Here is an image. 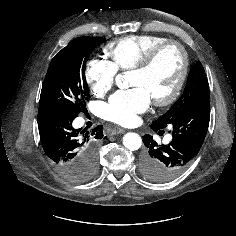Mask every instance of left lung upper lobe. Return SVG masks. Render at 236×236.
I'll use <instances>...</instances> for the list:
<instances>
[{
    "label": "left lung upper lobe",
    "mask_w": 236,
    "mask_h": 236,
    "mask_svg": "<svg viewBox=\"0 0 236 236\" xmlns=\"http://www.w3.org/2000/svg\"><path fill=\"white\" fill-rule=\"evenodd\" d=\"M209 100V84L200 62L195 64L188 75L185 90L178 101L162 116L152 123V127L163 129L191 105Z\"/></svg>",
    "instance_id": "1"
}]
</instances>
